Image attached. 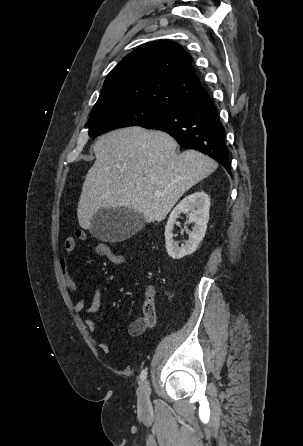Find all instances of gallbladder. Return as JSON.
<instances>
[{"label": "gallbladder", "mask_w": 303, "mask_h": 446, "mask_svg": "<svg viewBox=\"0 0 303 446\" xmlns=\"http://www.w3.org/2000/svg\"><path fill=\"white\" fill-rule=\"evenodd\" d=\"M144 218L141 214L126 208H103L91 219L90 232L103 241H122L142 229Z\"/></svg>", "instance_id": "1"}]
</instances>
